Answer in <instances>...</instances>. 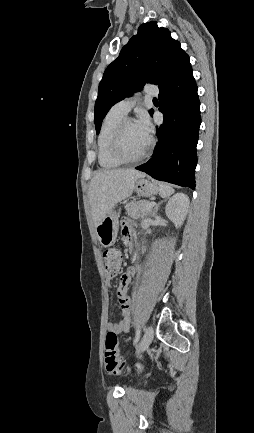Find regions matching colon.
Listing matches in <instances>:
<instances>
[{
    "label": "colon",
    "instance_id": "1",
    "mask_svg": "<svg viewBox=\"0 0 254 433\" xmlns=\"http://www.w3.org/2000/svg\"><path fill=\"white\" fill-rule=\"evenodd\" d=\"M102 257L105 265V272L113 275L117 273L121 254L120 251L114 248H106L102 252ZM105 368L108 373H122L129 370L126 361L119 357V342L115 332L109 331L105 338L104 350ZM140 365H135V369L139 370Z\"/></svg>",
    "mask_w": 254,
    "mask_h": 433
}]
</instances>
